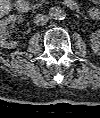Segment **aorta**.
I'll return each mask as SVG.
<instances>
[{
	"label": "aorta",
	"mask_w": 100,
	"mask_h": 118,
	"mask_svg": "<svg viewBox=\"0 0 100 118\" xmlns=\"http://www.w3.org/2000/svg\"><path fill=\"white\" fill-rule=\"evenodd\" d=\"M49 16L54 20H63L66 17V13L61 7H52L49 10Z\"/></svg>",
	"instance_id": "1"
}]
</instances>
